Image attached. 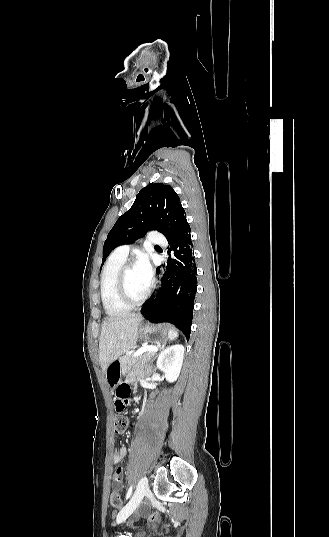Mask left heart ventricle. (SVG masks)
I'll return each instance as SVG.
<instances>
[{
    "label": "left heart ventricle",
    "mask_w": 329,
    "mask_h": 537,
    "mask_svg": "<svg viewBox=\"0 0 329 537\" xmlns=\"http://www.w3.org/2000/svg\"><path fill=\"white\" fill-rule=\"evenodd\" d=\"M148 286L140 279L134 267L126 273V290L130 298L139 299L144 295Z\"/></svg>",
    "instance_id": "obj_1"
}]
</instances>
